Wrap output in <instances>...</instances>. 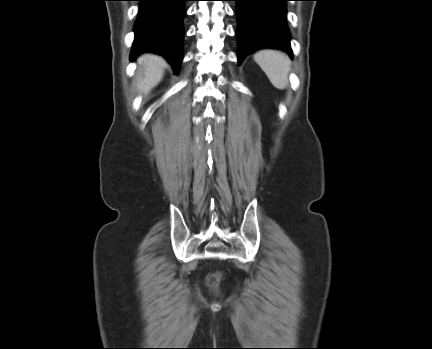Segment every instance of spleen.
Listing matches in <instances>:
<instances>
[{
  "label": "spleen",
  "mask_w": 432,
  "mask_h": 349,
  "mask_svg": "<svg viewBox=\"0 0 432 349\" xmlns=\"http://www.w3.org/2000/svg\"><path fill=\"white\" fill-rule=\"evenodd\" d=\"M254 61L261 67L275 88L283 90L288 86L291 60L286 54L277 50L265 49L254 55Z\"/></svg>",
  "instance_id": "1"
}]
</instances>
